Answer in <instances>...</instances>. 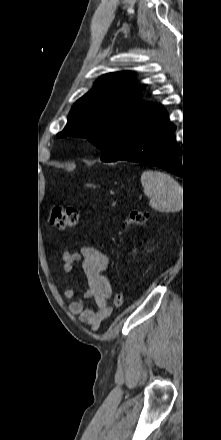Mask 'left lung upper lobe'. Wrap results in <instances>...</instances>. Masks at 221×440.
<instances>
[{
	"mask_svg": "<svg viewBox=\"0 0 221 440\" xmlns=\"http://www.w3.org/2000/svg\"><path fill=\"white\" fill-rule=\"evenodd\" d=\"M134 79L129 71L101 76L74 104L67 125L57 136L85 137L101 149L102 161H117L137 123L154 106L138 97Z\"/></svg>",
	"mask_w": 221,
	"mask_h": 440,
	"instance_id": "left-lung-upper-lobe-1",
	"label": "left lung upper lobe"
}]
</instances>
